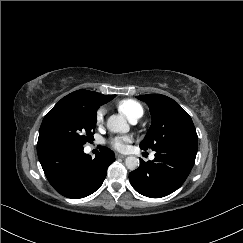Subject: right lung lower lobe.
<instances>
[{
    "label": "right lung lower lobe",
    "instance_id": "1",
    "mask_svg": "<svg viewBox=\"0 0 243 243\" xmlns=\"http://www.w3.org/2000/svg\"><path fill=\"white\" fill-rule=\"evenodd\" d=\"M43 171L61 195L83 198L102 185L108 166L114 162V153L101 147L94 159L83 152V147L55 146L38 151Z\"/></svg>",
    "mask_w": 243,
    "mask_h": 243
}]
</instances>
